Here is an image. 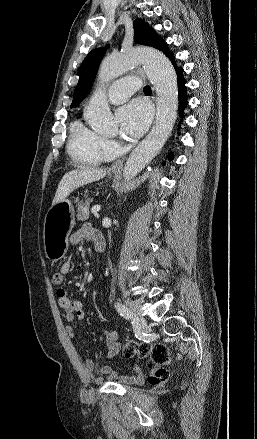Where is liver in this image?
Listing matches in <instances>:
<instances>
[{
	"label": "liver",
	"mask_w": 257,
	"mask_h": 439,
	"mask_svg": "<svg viewBox=\"0 0 257 439\" xmlns=\"http://www.w3.org/2000/svg\"><path fill=\"white\" fill-rule=\"evenodd\" d=\"M106 175L105 169L83 168L67 172L61 179L52 205L64 200L71 192L86 184L99 181Z\"/></svg>",
	"instance_id": "obj_1"
}]
</instances>
